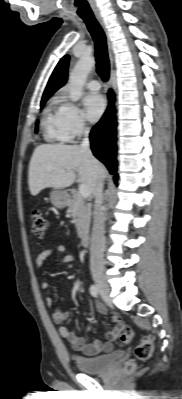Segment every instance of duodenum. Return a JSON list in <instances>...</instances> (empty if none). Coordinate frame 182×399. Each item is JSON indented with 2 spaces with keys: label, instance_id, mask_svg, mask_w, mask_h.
<instances>
[{
  "label": "duodenum",
  "instance_id": "410a0bca",
  "mask_svg": "<svg viewBox=\"0 0 182 399\" xmlns=\"http://www.w3.org/2000/svg\"><path fill=\"white\" fill-rule=\"evenodd\" d=\"M82 245L88 247L90 243V235L88 233H83L81 235Z\"/></svg>",
  "mask_w": 182,
  "mask_h": 399
}]
</instances>
